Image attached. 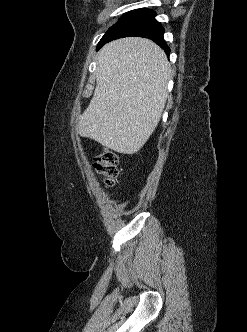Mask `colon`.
Here are the masks:
<instances>
[{
    "instance_id": "5ec220e1",
    "label": "colon",
    "mask_w": 247,
    "mask_h": 332,
    "mask_svg": "<svg viewBox=\"0 0 247 332\" xmlns=\"http://www.w3.org/2000/svg\"><path fill=\"white\" fill-rule=\"evenodd\" d=\"M93 167L102 177L106 187L113 186L118 176V157L109 149H101L94 157Z\"/></svg>"
}]
</instances>
